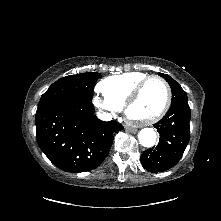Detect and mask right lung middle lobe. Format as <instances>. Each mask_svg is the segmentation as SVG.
<instances>
[{
  "mask_svg": "<svg viewBox=\"0 0 221 221\" xmlns=\"http://www.w3.org/2000/svg\"><path fill=\"white\" fill-rule=\"evenodd\" d=\"M100 77L99 73L89 72L69 75L57 80L41 96L37 110L63 99L92 103L93 88Z\"/></svg>",
  "mask_w": 221,
  "mask_h": 221,
  "instance_id": "right-lung-middle-lobe-1",
  "label": "right lung middle lobe"
}]
</instances>
